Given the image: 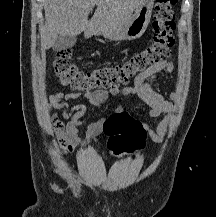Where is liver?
Here are the masks:
<instances>
[{
    "label": "liver",
    "mask_w": 216,
    "mask_h": 217,
    "mask_svg": "<svg viewBox=\"0 0 216 217\" xmlns=\"http://www.w3.org/2000/svg\"><path fill=\"white\" fill-rule=\"evenodd\" d=\"M140 0H45V24L41 44L49 49L58 35H88L108 37L135 11ZM97 6L91 20L88 15Z\"/></svg>",
    "instance_id": "6515ba94"
}]
</instances>
